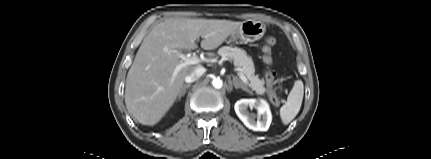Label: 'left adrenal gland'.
I'll return each instance as SVG.
<instances>
[{
  "mask_svg": "<svg viewBox=\"0 0 431 159\" xmlns=\"http://www.w3.org/2000/svg\"><path fill=\"white\" fill-rule=\"evenodd\" d=\"M235 89L241 88L242 90L252 94V92L235 76H233V81L231 82Z\"/></svg>",
  "mask_w": 431,
  "mask_h": 159,
  "instance_id": "1",
  "label": "left adrenal gland"
}]
</instances>
